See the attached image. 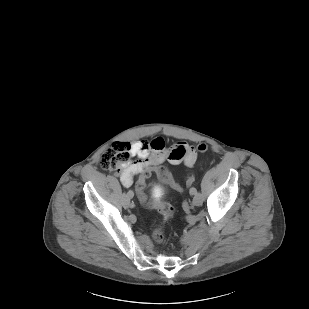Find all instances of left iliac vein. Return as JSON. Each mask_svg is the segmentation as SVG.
<instances>
[{
    "mask_svg": "<svg viewBox=\"0 0 309 309\" xmlns=\"http://www.w3.org/2000/svg\"><path fill=\"white\" fill-rule=\"evenodd\" d=\"M193 205L195 206H199L203 203V196L201 193H196L193 197V201H192Z\"/></svg>",
    "mask_w": 309,
    "mask_h": 309,
    "instance_id": "obj_1",
    "label": "left iliac vein"
}]
</instances>
